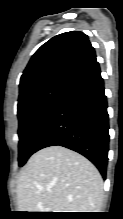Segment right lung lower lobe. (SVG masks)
<instances>
[{
	"label": "right lung lower lobe",
	"mask_w": 123,
	"mask_h": 219,
	"mask_svg": "<svg viewBox=\"0 0 123 219\" xmlns=\"http://www.w3.org/2000/svg\"><path fill=\"white\" fill-rule=\"evenodd\" d=\"M98 62L69 81L38 135L34 151L63 146L88 158L105 178L109 122Z\"/></svg>",
	"instance_id": "1"
}]
</instances>
